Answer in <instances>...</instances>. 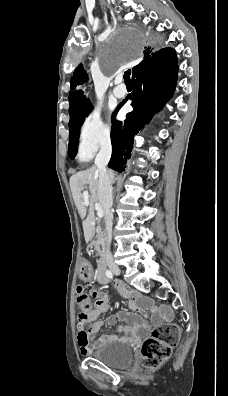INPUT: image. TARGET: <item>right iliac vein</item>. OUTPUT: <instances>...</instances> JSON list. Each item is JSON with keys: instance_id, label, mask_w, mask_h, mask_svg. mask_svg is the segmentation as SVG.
Masks as SVG:
<instances>
[{"instance_id": "1", "label": "right iliac vein", "mask_w": 228, "mask_h": 396, "mask_svg": "<svg viewBox=\"0 0 228 396\" xmlns=\"http://www.w3.org/2000/svg\"><path fill=\"white\" fill-rule=\"evenodd\" d=\"M108 266H109L110 270H111L115 275H120V274H121V270H120V268L118 267V265H117L115 262L109 261V262H108Z\"/></svg>"}]
</instances>
